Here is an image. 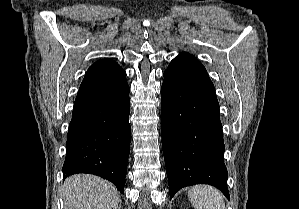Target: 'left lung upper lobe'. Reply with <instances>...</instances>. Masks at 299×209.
<instances>
[{
	"instance_id": "5c2ea615",
	"label": "left lung upper lobe",
	"mask_w": 299,
	"mask_h": 209,
	"mask_svg": "<svg viewBox=\"0 0 299 209\" xmlns=\"http://www.w3.org/2000/svg\"><path fill=\"white\" fill-rule=\"evenodd\" d=\"M178 57H180V58H193V59H195L194 56H192L191 54H188V53H181Z\"/></svg>"
}]
</instances>
